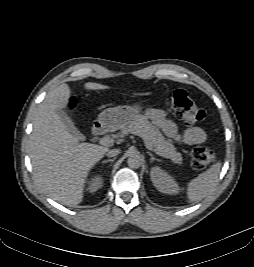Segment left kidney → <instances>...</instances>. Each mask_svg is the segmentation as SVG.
I'll list each match as a JSON object with an SVG mask.
<instances>
[{
	"mask_svg": "<svg viewBox=\"0 0 254 267\" xmlns=\"http://www.w3.org/2000/svg\"><path fill=\"white\" fill-rule=\"evenodd\" d=\"M151 181L156 189L165 194H177L179 186L175 179L160 167H153L150 171Z\"/></svg>",
	"mask_w": 254,
	"mask_h": 267,
	"instance_id": "left-kidney-1",
	"label": "left kidney"
}]
</instances>
